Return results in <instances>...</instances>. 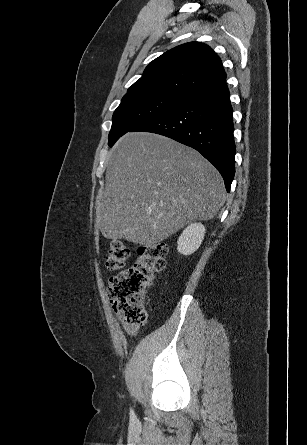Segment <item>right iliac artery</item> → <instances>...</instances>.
I'll use <instances>...</instances> for the list:
<instances>
[{"label":"right iliac artery","mask_w":307,"mask_h":445,"mask_svg":"<svg viewBox=\"0 0 307 445\" xmlns=\"http://www.w3.org/2000/svg\"><path fill=\"white\" fill-rule=\"evenodd\" d=\"M130 417H131L132 420H135V418H136V416H135V414H134L132 409L130 410Z\"/></svg>","instance_id":"1"}]
</instances>
